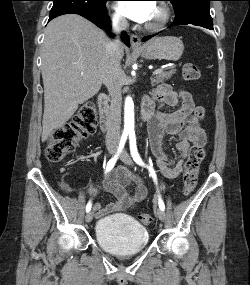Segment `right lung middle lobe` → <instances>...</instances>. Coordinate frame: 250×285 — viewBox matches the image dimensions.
<instances>
[{
    "instance_id": "right-lung-middle-lobe-1",
    "label": "right lung middle lobe",
    "mask_w": 250,
    "mask_h": 285,
    "mask_svg": "<svg viewBox=\"0 0 250 285\" xmlns=\"http://www.w3.org/2000/svg\"><path fill=\"white\" fill-rule=\"evenodd\" d=\"M54 2L50 11V17H56L67 12L84 11H103L106 8V1L109 0H52Z\"/></svg>"
}]
</instances>
